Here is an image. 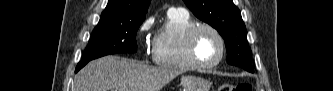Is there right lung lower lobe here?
Here are the masks:
<instances>
[{
  "instance_id": "1",
  "label": "right lung lower lobe",
  "mask_w": 333,
  "mask_h": 91,
  "mask_svg": "<svg viewBox=\"0 0 333 91\" xmlns=\"http://www.w3.org/2000/svg\"><path fill=\"white\" fill-rule=\"evenodd\" d=\"M89 61H81L78 63L75 72L79 71L82 67H84Z\"/></svg>"
}]
</instances>
